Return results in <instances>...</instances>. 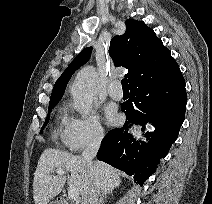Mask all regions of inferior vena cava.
I'll list each match as a JSON object with an SVG mask.
<instances>
[{
    "instance_id": "1",
    "label": "inferior vena cava",
    "mask_w": 212,
    "mask_h": 204,
    "mask_svg": "<svg viewBox=\"0 0 212 204\" xmlns=\"http://www.w3.org/2000/svg\"><path fill=\"white\" fill-rule=\"evenodd\" d=\"M103 137L104 133L102 131H97L96 133H94V135L90 139L89 144L82 152V158L90 167L93 164V158L96 156L100 148ZM99 195V187L93 181H91L85 194L82 196V204H98Z\"/></svg>"
}]
</instances>
